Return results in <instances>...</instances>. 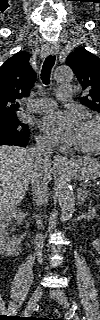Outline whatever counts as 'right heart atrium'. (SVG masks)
Wrapping results in <instances>:
<instances>
[{"mask_svg": "<svg viewBox=\"0 0 100 320\" xmlns=\"http://www.w3.org/2000/svg\"><path fill=\"white\" fill-rule=\"evenodd\" d=\"M38 142L43 145L50 144V140L46 136H43V135L38 136Z\"/></svg>", "mask_w": 100, "mask_h": 320, "instance_id": "obj_1", "label": "right heart atrium"}]
</instances>
